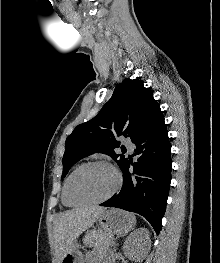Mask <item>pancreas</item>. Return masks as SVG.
I'll list each match as a JSON object with an SVG mask.
<instances>
[{
	"label": "pancreas",
	"instance_id": "obj_1",
	"mask_svg": "<svg viewBox=\"0 0 220 263\" xmlns=\"http://www.w3.org/2000/svg\"><path fill=\"white\" fill-rule=\"evenodd\" d=\"M83 242L86 246H94L95 248L105 249L108 243V237L102 230H95L85 236Z\"/></svg>",
	"mask_w": 220,
	"mask_h": 263
}]
</instances>
